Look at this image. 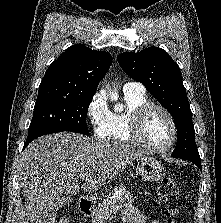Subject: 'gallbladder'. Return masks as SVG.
<instances>
[{"label":"gallbladder","mask_w":221,"mask_h":223,"mask_svg":"<svg viewBox=\"0 0 221 223\" xmlns=\"http://www.w3.org/2000/svg\"><path fill=\"white\" fill-rule=\"evenodd\" d=\"M63 205L69 204L71 202V197L65 196L62 198Z\"/></svg>","instance_id":"1"}]
</instances>
